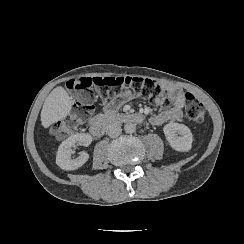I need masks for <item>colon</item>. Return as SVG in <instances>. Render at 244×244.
I'll return each mask as SVG.
<instances>
[{"instance_id": "obj_1", "label": "colon", "mask_w": 244, "mask_h": 244, "mask_svg": "<svg viewBox=\"0 0 244 244\" xmlns=\"http://www.w3.org/2000/svg\"><path fill=\"white\" fill-rule=\"evenodd\" d=\"M100 91H93V88ZM132 88L137 97L149 98L150 100L165 105L168 103L163 89L155 84L152 79L139 76H117V77H81L77 80L68 81L64 92L68 98L77 99L82 104L63 121L57 122L50 127V133L62 138L72 135L77 123H84L89 118L88 107L93 105L98 98L104 100L115 99L123 95L124 89ZM185 115L190 121L201 123L204 120V108L200 101L192 94L186 96Z\"/></svg>"}]
</instances>
